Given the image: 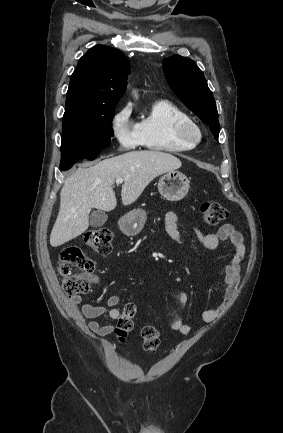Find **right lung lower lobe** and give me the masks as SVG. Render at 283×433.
<instances>
[{"mask_svg":"<svg viewBox=\"0 0 283 433\" xmlns=\"http://www.w3.org/2000/svg\"><path fill=\"white\" fill-rule=\"evenodd\" d=\"M98 154L99 153H89V152H80V151L62 153L60 169L63 171L70 169L72 165L79 159L85 158V159L94 160Z\"/></svg>","mask_w":283,"mask_h":433,"instance_id":"obj_1","label":"right lung lower lobe"}]
</instances>
